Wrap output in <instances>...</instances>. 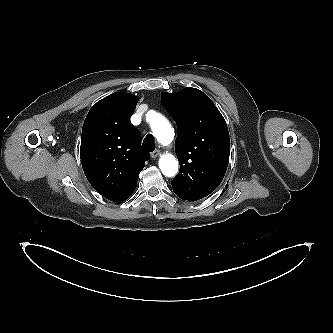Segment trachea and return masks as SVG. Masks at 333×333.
<instances>
[{
    "label": "trachea",
    "instance_id": "3493384b",
    "mask_svg": "<svg viewBox=\"0 0 333 333\" xmlns=\"http://www.w3.org/2000/svg\"><path fill=\"white\" fill-rule=\"evenodd\" d=\"M143 148L149 152L154 151L155 149V144H154V137L151 134H148L144 140H143V144H142Z\"/></svg>",
    "mask_w": 333,
    "mask_h": 333
}]
</instances>
